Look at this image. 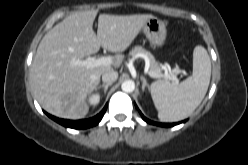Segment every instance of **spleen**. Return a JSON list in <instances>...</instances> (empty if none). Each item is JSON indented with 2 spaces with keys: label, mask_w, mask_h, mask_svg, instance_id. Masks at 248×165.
<instances>
[{
  "label": "spleen",
  "mask_w": 248,
  "mask_h": 165,
  "mask_svg": "<svg viewBox=\"0 0 248 165\" xmlns=\"http://www.w3.org/2000/svg\"><path fill=\"white\" fill-rule=\"evenodd\" d=\"M211 78L210 57L203 46L193 51V72L180 84L158 80L150 92L162 122H175L190 116L204 99Z\"/></svg>",
  "instance_id": "3e777b00"
}]
</instances>
